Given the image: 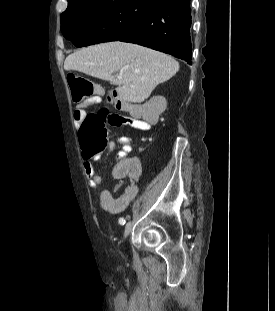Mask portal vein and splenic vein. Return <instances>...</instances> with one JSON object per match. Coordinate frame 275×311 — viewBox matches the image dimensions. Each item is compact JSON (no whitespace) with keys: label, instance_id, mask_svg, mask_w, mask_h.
<instances>
[{"label":"portal vein and splenic vein","instance_id":"obj_1","mask_svg":"<svg viewBox=\"0 0 275 311\" xmlns=\"http://www.w3.org/2000/svg\"><path fill=\"white\" fill-rule=\"evenodd\" d=\"M117 78H118V79H122V75H120V74L117 75Z\"/></svg>","mask_w":275,"mask_h":311}]
</instances>
